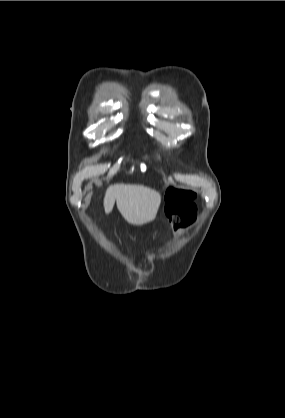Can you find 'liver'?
<instances>
[{
	"instance_id": "obj_1",
	"label": "liver",
	"mask_w": 285,
	"mask_h": 418,
	"mask_svg": "<svg viewBox=\"0 0 285 418\" xmlns=\"http://www.w3.org/2000/svg\"><path fill=\"white\" fill-rule=\"evenodd\" d=\"M123 218L132 225L141 226L155 219L161 195L142 185L115 184L108 187L104 197V210L109 214L114 204Z\"/></svg>"
}]
</instances>
